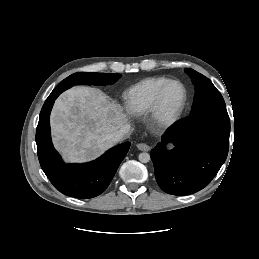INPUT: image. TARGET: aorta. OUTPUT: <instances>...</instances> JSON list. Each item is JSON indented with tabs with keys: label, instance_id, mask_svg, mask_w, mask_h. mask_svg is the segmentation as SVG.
I'll return each mask as SVG.
<instances>
[{
	"label": "aorta",
	"instance_id": "762f6f07",
	"mask_svg": "<svg viewBox=\"0 0 259 259\" xmlns=\"http://www.w3.org/2000/svg\"><path fill=\"white\" fill-rule=\"evenodd\" d=\"M139 161L142 163H147L150 161V155L146 152L139 154Z\"/></svg>",
	"mask_w": 259,
	"mask_h": 259
}]
</instances>
